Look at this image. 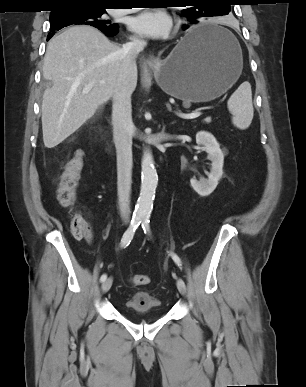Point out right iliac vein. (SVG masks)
Here are the masks:
<instances>
[{
  "instance_id": "obj_1",
  "label": "right iliac vein",
  "mask_w": 306,
  "mask_h": 387,
  "mask_svg": "<svg viewBox=\"0 0 306 387\" xmlns=\"http://www.w3.org/2000/svg\"><path fill=\"white\" fill-rule=\"evenodd\" d=\"M112 286V278H108L107 280H105L101 286V289H102V292L103 293H106L109 291V289L111 288Z\"/></svg>"
}]
</instances>
